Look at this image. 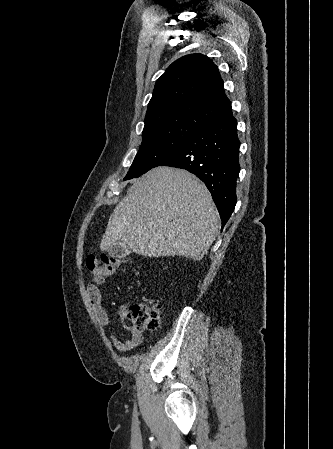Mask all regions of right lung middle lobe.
Returning a JSON list of instances; mask_svg holds the SVG:
<instances>
[{
	"label": "right lung middle lobe",
	"mask_w": 333,
	"mask_h": 449,
	"mask_svg": "<svg viewBox=\"0 0 333 449\" xmlns=\"http://www.w3.org/2000/svg\"><path fill=\"white\" fill-rule=\"evenodd\" d=\"M199 126L188 123L166 124L143 132L142 144L125 179L139 177L154 168L161 159L195 135Z\"/></svg>",
	"instance_id": "right-lung-middle-lobe-1"
}]
</instances>
